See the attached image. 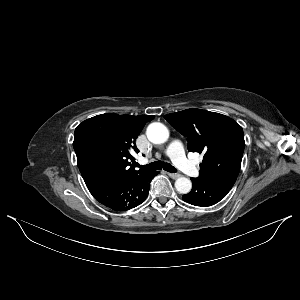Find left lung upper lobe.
<instances>
[{"label": "left lung upper lobe", "mask_w": 300, "mask_h": 300, "mask_svg": "<svg viewBox=\"0 0 300 300\" xmlns=\"http://www.w3.org/2000/svg\"><path fill=\"white\" fill-rule=\"evenodd\" d=\"M165 119L187 137L189 151L204 154L198 178L231 189L245 146L242 127L225 115L201 109L167 114Z\"/></svg>", "instance_id": "obj_1"}]
</instances>
